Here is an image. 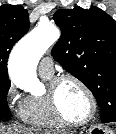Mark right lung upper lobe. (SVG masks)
<instances>
[{
  "instance_id": "obj_1",
  "label": "right lung upper lobe",
  "mask_w": 116,
  "mask_h": 134,
  "mask_svg": "<svg viewBox=\"0 0 116 134\" xmlns=\"http://www.w3.org/2000/svg\"><path fill=\"white\" fill-rule=\"evenodd\" d=\"M29 15L21 5L0 6V77H8L7 61L14 44L29 30Z\"/></svg>"
}]
</instances>
